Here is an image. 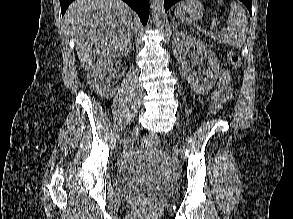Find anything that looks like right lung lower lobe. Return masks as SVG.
Returning <instances> with one entry per match:
<instances>
[{
    "label": "right lung lower lobe",
    "instance_id": "98d812e1",
    "mask_svg": "<svg viewBox=\"0 0 293 219\" xmlns=\"http://www.w3.org/2000/svg\"><path fill=\"white\" fill-rule=\"evenodd\" d=\"M73 0H60L62 16L64 15L68 5ZM139 15L143 25L148 21L149 16V0H123Z\"/></svg>",
    "mask_w": 293,
    "mask_h": 219
}]
</instances>
